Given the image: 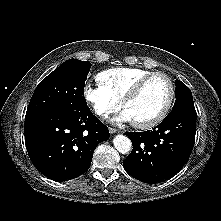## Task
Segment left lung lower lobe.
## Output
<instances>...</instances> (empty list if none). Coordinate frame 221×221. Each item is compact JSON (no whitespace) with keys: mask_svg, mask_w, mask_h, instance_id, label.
Segmentation results:
<instances>
[{"mask_svg":"<svg viewBox=\"0 0 221 221\" xmlns=\"http://www.w3.org/2000/svg\"><path fill=\"white\" fill-rule=\"evenodd\" d=\"M195 110L169 113L153 130L126 132L133 144L124 169L134 178L156 183L172 177L189 159L196 134Z\"/></svg>","mask_w":221,"mask_h":221,"instance_id":"obj_1","label":"left lung lower lobe"}]
</instances>
